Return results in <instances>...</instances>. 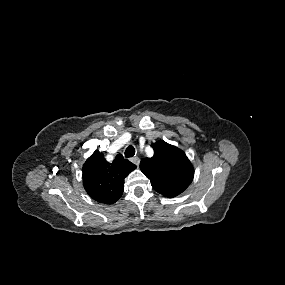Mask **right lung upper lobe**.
Instances as JSON below:
<instances>
[{
  "mask_svg": "<svg viewBox=\"0 0 285 285\" xmlns=\"http://www.w3.org/2000/svg\"><path fill=\"white\" fill-rule=\"evenodd\" d=\"M136 169V165L117 155L112 163L105 160L103 153L96 150L83 165V185L94 200L115 203L124 190V178Z\"/></svg>",
  "mask_w": 285,
  "mask_h": 285,
  "instance_id": "obj_1",
  "label": "right lung upper lobe"
}]
</instances>
